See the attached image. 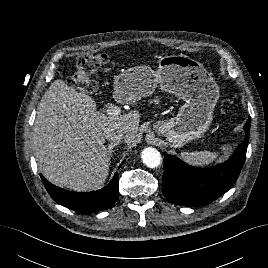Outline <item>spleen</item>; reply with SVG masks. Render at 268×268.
Returning <instances> with one entry per match:
<instances>
[{
  "label": "spleen",
  "mask_w": 268,
  "mask_h": 268,
  "mask_svg": "<svg viewBox=\"0 0 268 268\" xmlns=\"http://www.w3.org/2000/svg\"><path fill=\"white\" fill-rule=\"evenodd\" d=\"M181 158L193 166H206L213 162L218 156V152L199 151L181 152Z\"/></svg>",
  "instance_id": "spleen-1"
}]
</instances>
